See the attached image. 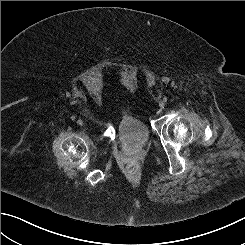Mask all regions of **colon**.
Instances as JSON below:
<instances>
[{"label":"colon","instance_id":"obj_1","mask_svg":"<svg viewBox=\"0 0 245 245\" xmlns=\"http://www.w3.org/2000/svg\"><path fill=\"white\" fill-rule=\"evenodd\" d=\"M138 169V164L136 162H131L127 165V171L129 173H134Z\"/></svg>","mask_w":245,"mask_h":245}]
</instances>
